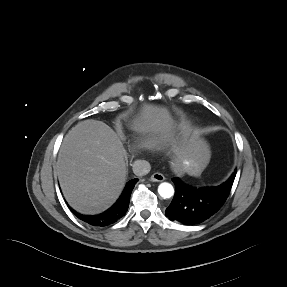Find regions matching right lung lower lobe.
Listing matches in <instances>:
<instances>
[{
	"mask_svg": "<svg viewBox=\"0 0 287 287\" xmlns=\"http://www.w3.org/2000/svg\"><path fill=\"white\" fill-rule=\"evenodd\" d=\"M137 181L138 179L135 178L127 182L117 202L101 214L89 216L80 214L72 208H70V210L77 218L92 226L104 227L113 224L126 214L129 207L130 196Z\"/></svg>",
	"mask_w": 287,
	"mask_h": 287,
	"instance_id": "obj_1",
	"label": "right lung lower lobe"
}]
</instances>
